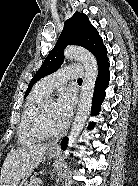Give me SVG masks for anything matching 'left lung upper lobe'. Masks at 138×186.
<instances>
[{"label": "left lung upper lobe", "instance_id": "left-lung-upper-lobe-1", "mask_svg": "<svg viewBox=\"0 0 138 186\" xmlns=\"http://www.w3.org/2000/svg\"><path fill=\"white\" fill-rule=\"evenodd\" d=\"M69 44L80 45L92 52L97 59L98 68L108 63L107 49L103 45L99 33L90 24L88 17L84 13L76 12L64 23L63 31L56 45L30 81L25 97L29 94L36 81L60 68L64 61L63 51Z\"/></svg>", "mask_w": 138, "mask_h": 186}]
</instances>
